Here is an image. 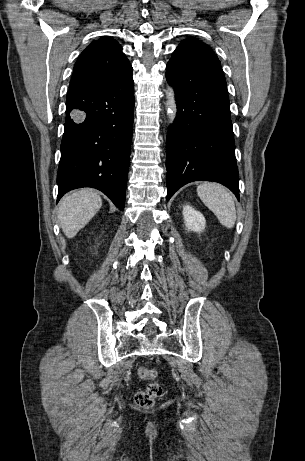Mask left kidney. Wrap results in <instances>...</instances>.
<instances>
[{"mask_svg":"<svg viewBox=\"0 0 305 461\" xmlns=\"http://www.w3.org/2000/svg\"><path fill=\"white\" fill-rule=\"evenodd\" d=\"M183 219L187 230L193 232H202L206 226L204 216L190 205L183 207Z\"/></svg>","mask_w":305,"mask_h":461,"instance_id":"5707ae66","label":"left kidney"}]
</instances>
